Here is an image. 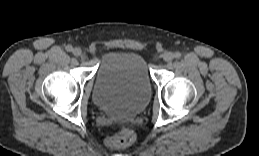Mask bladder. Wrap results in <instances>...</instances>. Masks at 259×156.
Wrapping results in <instances>:
<instances>
[{"label": "bladder", "instance_id": "1", "mask_svg": "<svg viewBox=\"0 0 259 156\" xmlns=\"http://www.w3.org/2000/svg\"><path fill=\"white\" fill-rule=\"evenodd\" d=\"M151 76L145 59L135 52H109L98 66L93 99L103 111L118 117L140 112L151 96Z\"/></svg>", "mask_w": 259, "mask_h": 156}]
</instances>
